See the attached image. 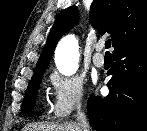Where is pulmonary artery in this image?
<instances>
[{
    "instance_id": "pulmonary-artery-1",
    "label": "pulmonary artery",
    "mask_w": 147,
    "mask_h": 131,
    "mask_svg": "<svg viewBox=\"0 0 147 131\" xmlns=\"http://www.w3.org/2000/svg\"><path fill=\"white\" fill-rule=\"evenodd\" d=\"M103 47H104V42H99L95 46L96 52L93 55V63L96 67H102L104 65L105 58L101 53Z\"/></svg>"
}]
</instances>
